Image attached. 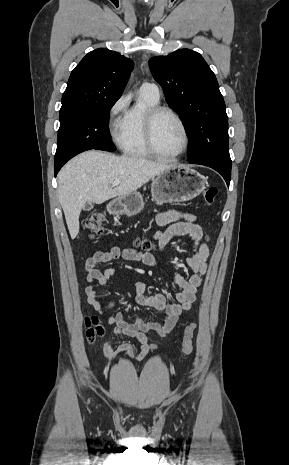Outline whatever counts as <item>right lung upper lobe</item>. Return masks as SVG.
<instances>
[{"instance_id":"1","label":"right lung upper lobe","mask_w":289,"mask_h":465,"mask_svg":"<svg viewBox=\"0 0 289 465\" xmlns=\"http://www.w3.org/2000/svg\"><path fill=\"white\" fill-rule=\"evenodd\" d=\"M132 68L133 62L117 52L104 48L89 52L71 72L60 111L119 99Z\"/></svg>"}]
</instances>
